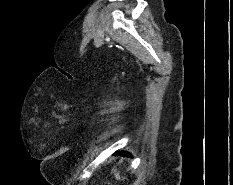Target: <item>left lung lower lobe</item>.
I'll list each match as a JSON object with an SVG mask.
<instances>
[{"instance_id":"0a47b994","label":"left lung lower lobe","mask_w":233,"mask_h":185,"mask_svg":"<svg viewBox=\"0 0 233 185\" xmlns=\"http://www.w3.org/2000/svg\"><path fill=\"white\" fill-rule=\"evenodd\" d=\"M115 155H122V156H129V157H131V155L129 153H127V152H117V153H115Z\"/></svg>"}]
</instances>
